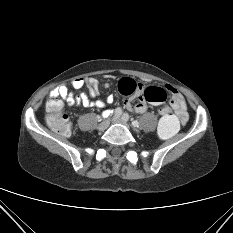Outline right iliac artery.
Wrapping results in <instances>:
<instances>
[{
    "mask_svg": "<svg viewBox=\"0 0 233 233\" xmlns=\"http://www.w3.org/2000/svg\"><path fill=\"white\" fill-rule=\"evenodd\" d=\"M122 114L121 108H116L114 111V117H120Z\"/></svg>",
    "mask_w": 233,
    "mask_h": 233,
    "instance_id": "obj_1",
    "label": "right iliac artery"
}]
</instances>
